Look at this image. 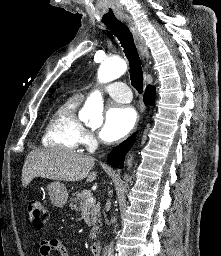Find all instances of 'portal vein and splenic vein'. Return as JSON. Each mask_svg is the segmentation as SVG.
<instances>
[{"label":"portal vein and splenic vein","mask_w":221,"mask_h":256,"mask_svg":"<svg viewBox=\"0 0 221 256\" xmlns=\"http://www.w3.org/2000/svg\"><path fill=\"white\" fill-rule=\"evenodd\" d=\"M96 202V199L93 198V197H89L87 200H86V203L84 204V207H88L89 205L93 204Z\"/></svg>","instance_id":"18ae733b"}]
</instances>
